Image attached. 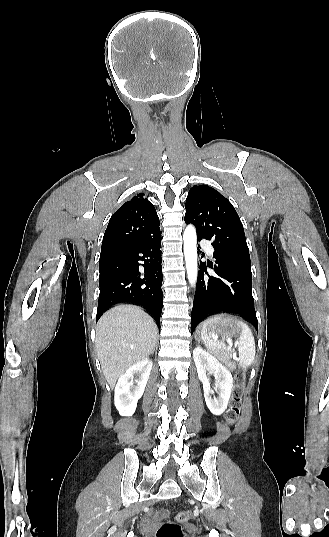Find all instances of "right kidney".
<instances>
[{
    "label": "right kidney",
    "instance_id": "ca27d5eb",
    "mask_svg": "<svg viewBox=\"0 0 329 537\" xmlns=\"http://www.w3.org/2000/svg\"><path fill=\"white\" fill-rule=\"evenodd\" d=\"M151 369L152 361L144 359L128 368L118 379L114 402L121 416H131L135 412L137 402L144 393ZM135 374L139 375V379L134 384Z\"/></svg>",
    "mask_w": 329,
    "mask_h": 537
}]
</instances>
